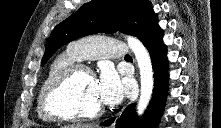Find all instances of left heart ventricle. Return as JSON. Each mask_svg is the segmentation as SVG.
I'll list each match as a JSON object with an SVG mask.
<instances>
[{
  "label": "left heart ventricle",
  "mask_w": 221,
  "mask_h": 128,
  "mask_svg": "<svg viewBox=\"0 0 221 128\" xmlns=\"http://www.w3.org/2000/svg\"><path fill=\"white\" fill-rule=\"evenodd\" d=\"M55 105L66 112L93 111L102 106L95 80L86 73L77 74L69 85L56 94Z\"/></svg>",
  "instance_id": "b2bd125f"
}]
</instances>
